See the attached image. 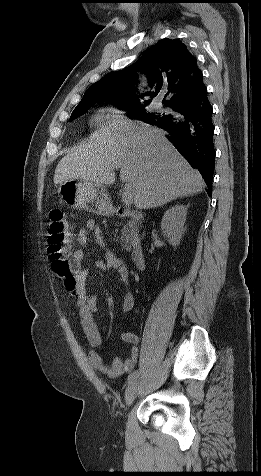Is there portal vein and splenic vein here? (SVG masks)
<instances>
[{"mask_svg":"<svg viewBox=\"0 0 261 476\" xmlns=\"http://www.w3.org/2000/svg\"><path fill=\"white\" fill-rule=\"evenodd\" d=\"M133 201V193L129 185H125L124 191L122 193V202L125 205H130Z\"/></svg>","mask_w":261,"mask_h":476,"instance_id":"portal-vein-and-splenic-vein-1","label":"portal vein and splenic vein"}]
</instances>
